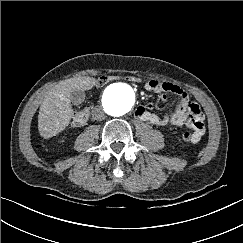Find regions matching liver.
I'll use <instances>...</instances> for the list:
<instances>
[{"label":"liver","instance_id":"liver-1","mask_svg":"<svg viewBox=\"0 0 243 243\" xmlns=\"http://www.w3.org/2000/svg\"><path fill=\"white\" fill-rule=\"evenodd\" d=\"M89 78H71L59 82L44 97L38 114V130L48 139L62 132L72 118L71 93L86 88Z\"/></svg>","mask_w":243,"mask_h":243}]
</instances>
